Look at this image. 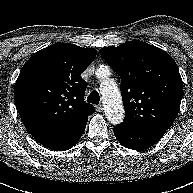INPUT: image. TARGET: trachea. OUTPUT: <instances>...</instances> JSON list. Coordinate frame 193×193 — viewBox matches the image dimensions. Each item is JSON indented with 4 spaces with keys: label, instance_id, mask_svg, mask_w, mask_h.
Segmentation results:
<instances>
[{
    "label": "trachea",
    "instance_id": "3493384b",
    "mask_svg": "<svg viewBox=\"0 0 193 193\" xmlns=\"http://www.w3.org/2000/svg\"><path fill=\"white\" fill-rule=\"evenodd\" d=\"M87 102L98 105L100 102L99 93L96 90H93L87 97Z\"/></svg>",
    "mask_w": 193,
    "mask_h": 193
}]
</instances>
